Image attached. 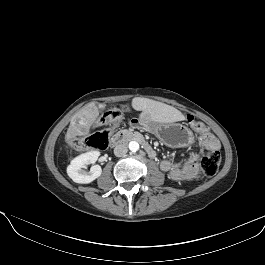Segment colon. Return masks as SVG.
<instances>
[{
	"mask_svg": "<svg viewBox=\"0 0 265 265\" xmlns=\"http://www.w3.org/2000/svg\"><path fill=\"white\" fill-rule=\"evenodd\" d=\"M128 111L129 108L127 106H122L105 112L96 122L98 130L85 140L84 145L90 149L102 150L106 148L112 129L119 125L124 113ZM187 120L195 131L201 134L207 131V127L203 123L194 120L192 116H189ZM221 160L219 149H209L201 160V176L203 178L214 176L220 167Z\"/></svg>",
	"mask_w": 265,
	"mask_h": 265,
	"instance_id": "colon-1",
	"label": "colon"
}]
</instances>
